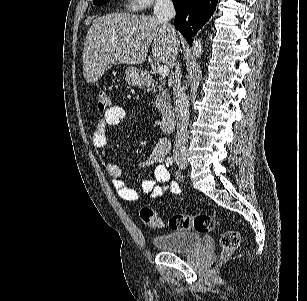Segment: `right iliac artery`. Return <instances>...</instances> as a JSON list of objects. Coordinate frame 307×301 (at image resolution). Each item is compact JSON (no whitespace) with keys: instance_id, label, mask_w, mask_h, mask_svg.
<instances>
[{"instance_id":"1","label":"right iliac artery","mask_w":307,"mask_h":301,"mask_svg":"<svg viewBox=\"0 0 307 301\" xmlns=\"http://www.w3.org/2000/svg\"><path fill=\"white\" fill-rule=\"evenodd\" d=\"M174 163V159L172 157H167L166 165L171 166Z\"/></svg>"}]
</instances>
